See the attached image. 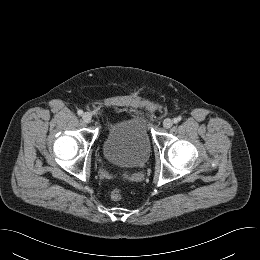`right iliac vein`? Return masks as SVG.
Wrapping results in <instances>:
<instances>
[{"label":"right iliac vein","mask_w":260,"mask_h":260,"mask_svg":"<svg viewBox=\"0 0 260 260\" xmlns=\"http://www.w3.org/2000/svg\"><path fill=\"white\" fill-rule=\"evenodd\" d=\"M82 118H83V121L86 122V123H89L92 119V116L89 112H85L83 115H82Z\"/></svg>","instance_id":"obj_1"}]
</instances>
